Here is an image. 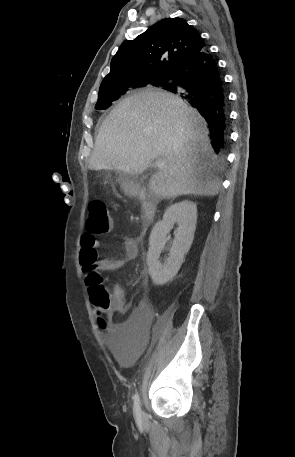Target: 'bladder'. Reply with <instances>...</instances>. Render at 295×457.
<instances>
[{
    "instance_id": "bladder-1",
    "label": "bladder",
    "mask_w": 295,
    "mask_h": 457,
    "mask_svg": "<svg viewBox=\"0 0 295 457\" xmlns=\"http://www.w3.org/2000/svg\"><path fill=\"white\" fill-rule=\"evenodd\" d=\"M145 346V338H105V347H113V356L125 367L143 356Z\"/></svg>"
}]
</instances>
